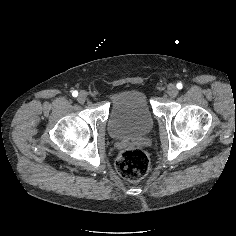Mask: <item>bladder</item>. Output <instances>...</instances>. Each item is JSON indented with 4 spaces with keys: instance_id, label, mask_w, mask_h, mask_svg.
<instances>
[{
    "instance_id": "bladder-1",
    "label": "bladder",
    "mask_w": 236,
    "mask_h": 236,
    "mask_svg": "<svg viewBox=\"0 0 236 236\" xmlns=\"http://www.w3.org/2000/svg\"><path fill=\"white\" fill-rule=\"evenodd\" d=\"M155 125V115L146 91L140 87L119 90L110 102L108 135L121 140L147 135Z\"/></svg>"
}]
</instances>
